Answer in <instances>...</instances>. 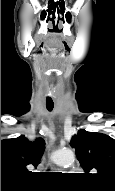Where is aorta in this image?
I'll use <instances>...</instances> for the list:
<instances>
[{"instance_id": "aorta-1", "label": "aorta", "mask_w": 115, "mask_h": 191, "mask_svg": "<svg viewBox=\"0 0 115 191\" xmlns=\"http://www.w3.org/2000/svg\"><path fill=\"white\" fill-rule=\"evenodd\" d=\"M53 161L59 166H69L75 161V155L71 150H59L53 155Z\"/></svg>"}]
</instances>
